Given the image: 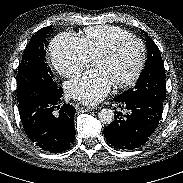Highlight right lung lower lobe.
Segmentation results:
<instances>
[{
  "label": "right lung lower lobe",
  "instance_id": "1",
  "mask_svg": "<svg viewBox=\"0 0 183 183\" xmlns=\"http://www.w3.org/2000/svg\"><path fill=\"white\" fill-rule=\"evenodd\" d=\"M62 92L58 88L47 94L32 93L18 103L27 136L36 146L51 153L67 150L76 134L74 108L67 104L59 106Z\"/></svg>",
  "mask_w": 183,
  "mask_h": 183
}]
</instances>
